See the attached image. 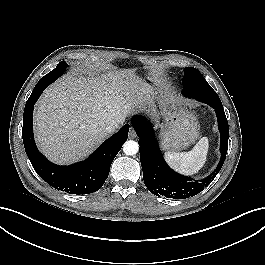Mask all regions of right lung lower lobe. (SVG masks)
<instances>
[{"mask_svg": "<svg viewBox=\"0 0 265 265\" xmlns=\"http://www.w3.org/2000/svg\"><path fill=\"white\" fill-rule=\"evenodd\" d=\"M49 82L40 80L24 110L22 137L30 162L37 174L50 186L69 194H88L99 190L107 179L110 166L127 140L129 124L107 139L86 160L70 166L49 162L37 149L33 136V106Z\"/></svg>", "mask_w": 265, "mask_h": 265, "instance_id": "98d812e1", "label": "right lung lower lobe"}]
</instances>
